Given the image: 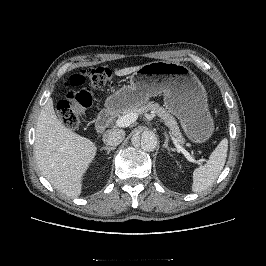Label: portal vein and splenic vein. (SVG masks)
Segmentation results:
<instances>
[{
    "label": "portal vein and splenic vein",
    "mask_w": 266,
    "mask_h": 266,
    "mask_svg": "<svg viewBox=\"0 0 266 266\" xmlns=\"http://www.w3.org/2000/svg\"><path fill=\"white\" fill-rule=\"evenodd\" d=\"M138 118V115L136 113H130V114H126L124 116H121L119 119H117L116 121V125L118 127H128L130 126L132 123H134ZM171 139L173 141V143L175 144V146L177 147V149L179 151H181L184 156L187 158V160L191 163L197 164V165H202V160H195L188 151H186L179 143L178 141L174 138V136L170 133Z\"/></svg>",
    "instance_id": "obj_1"
}]
</instances>
